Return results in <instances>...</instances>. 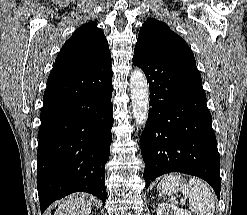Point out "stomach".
I'll return each mask as SVG.
<instances>
[{"label":"stomach","instance_id":"1","mask_svg":"<svg viewBox=\"0 0 247 215\" xmlns=\"http://www.w3.org/2000/svg\"><path fill=\"white\" fill-rule=\"evenodd\" d=\"M180 186V178L175 176H166L160 182L158 189L160 194L173 195L176 192H179Z\"/></svg>","mask_w":247,"mask_h":215}]
</instances>
